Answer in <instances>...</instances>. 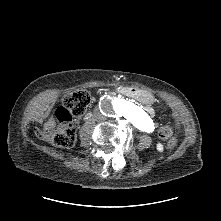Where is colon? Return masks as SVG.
Wrapping results in <instances>:
<instances>
[{
    "instance_id": "1",
    "label": "colon",
    "mask_w": 221,
    "mask_h": 221,
    "mask_svg": "<svg viewBox=\"0 0 221 221\" xmlns=\"http://www.w3.org/2000/svg\"><path fill=\"white\" fill-rule=\"evenodd\" d=\"M90 94L86 91H77L64 98L63 106L56 110V118L59 126L54 128V123L49 120L36 128L39 137H51L53 143L60 148H70L74 145L76 131L72 120L81 116L90 103ZM173 128L164 125L158 130V136L162 140H168L170 147H175L179 140L173 136Z\"/></svg>"
}]
</instances>
